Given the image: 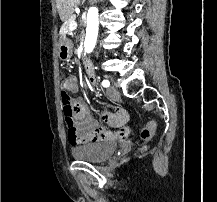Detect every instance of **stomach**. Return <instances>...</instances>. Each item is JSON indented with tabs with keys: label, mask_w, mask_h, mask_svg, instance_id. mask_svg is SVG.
<instances>
[{
	"label": "stomach",
	"mask_w": 217,
	"mask_h": 202,
	"mask_svg": "<svg viewBox=\"0 0 217 202\" xmlns=\"http://www.w3.org/2000/svg\"><path fill=\"white\" fill-rule=\"evenodd\" d=\"M72 48L73 44L71 40H68V38H61L58 52L60 60H63V62H65V60H69L72 56Z\"/></svg>",
	"instance_id": "obj_1"
}]
</instances>
